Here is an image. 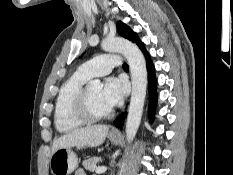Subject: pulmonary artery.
Returning a JSON list of instances; mask_svg holds the SVG:
<instances>
[{"mask_svg": "<svg viewBox=\"0 0 233 175\" xmlns=\"http://www.w3.org/2000/svg\"><path fill=\"white\" fill-rule=\"evenodd\" d=\"M121 64L122 58L120 56L104 54L83 63L78 67L76 74L86 79L104 76L109 74L114 68L120 67Z\"/></svg>", "mask_w": 233, "mask_h": 175, "instance_id": "e3ab8cb5", "label": "pulmonary artery"}]
</instances>
